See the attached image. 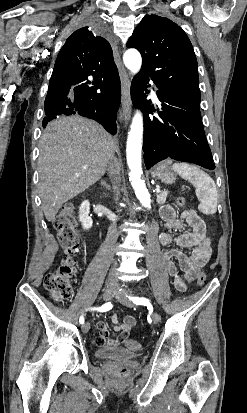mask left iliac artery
Here are the masks:
<instances>
[{
    "label": "left iliac artery",
    "mask_w": 247,
    "mask_h": 413,
    "mask_svg": "<svg viewBox=\"0 0 247 413\" xmlns=\"http://www.w3.org/2000/svg\"><path fill=\"white\" fill-rule=\"evenodd\" d=\"M129 300H132L136 305H144V306H149L150 301L146 298H139V297H131L127 296Z\"/></svg>",
    "instance_id": "1"
}]
</instances>
